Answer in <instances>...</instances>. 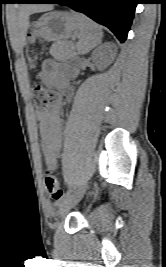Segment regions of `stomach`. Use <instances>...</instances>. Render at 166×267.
Wrapping results in <instances>:
<instances>
[{
	"label": "stomach",
	"instance_id": "stomach-1",
	"mask_svg": "<svg viewBox=\"0 0 166 267\" xmlns=\"http://www.w3.org/2000/svg\"><path fill=\"white\" fill-rule=\"evenodd\" d=\"M78 26L79 21L73 13L52 11L40 17L35 34L46 41H61L69 38Z\"/></svg>",
	"mask_w": 166,
	"mask_h": 267
}]
</instances>
